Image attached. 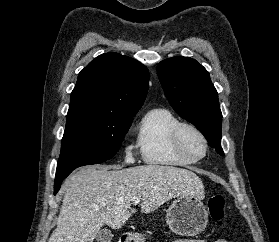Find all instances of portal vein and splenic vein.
I'll return each instance as SVG.
<instances>
[{"instance_id": "1", "label": "portal vein and splenic vein", "mask_w": 279, "mask_h": 242, "mask_svg": "<svg viewBox=\"0 0 279 242\" xmlns=\"http://www.w3.org/2000/svg\"><path fill=\"white\" fill-rule=\"evenodd\" d=\"M140 199H141L140 197H134L133 198V204L138 205L140 203Z\"/></svg>"}]
</instances>
